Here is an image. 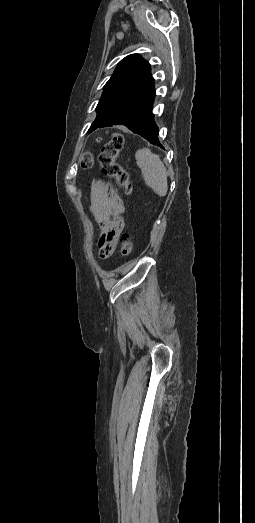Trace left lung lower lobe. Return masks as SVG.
<instances>
[{"mask_svg": "<svg viewBox=\"0 0 255 523\" xmlns=\"http://www.w3.org/2000/svg\"><path fill=\"white\" fill-rule=\"evenodd\" d=\"M158 129H160V126H157V128H152V130H144V132L147 133H137L141 134V137H146V140H148V145L155 146L157 150H162L165 148V145L162 144V141L158 140V137H160V134H157Z\"/></svg>", "mask_w": 255, "mask_h": 523, "instance_id": "left-lung-lower-lobe-1", "label": "left lung lower lobe"}]
</instances>
